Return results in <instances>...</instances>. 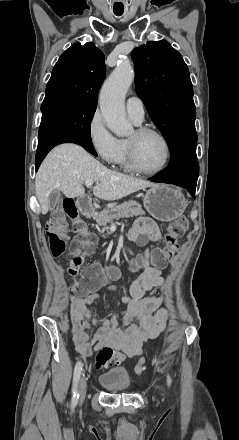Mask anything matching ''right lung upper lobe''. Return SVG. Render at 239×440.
<instances>
[{
	"label": "right lung upper lobe",
	"mask_w": 239,
	"mask_h": 440,
	"mask_svg": "<svg viewBox=\"0 0 239 440\" xmlns=\"http://www.w3.org/2000/svg\"><path fill=\"white\" fill-rule=\"evenodd\" d=\"M104 54L89 42L72 45L53 68L42 104L70 101L96 108L97 93L105 78Z\"/></svg>",
	"instance_id": "obj_1"
}]
</instances>
